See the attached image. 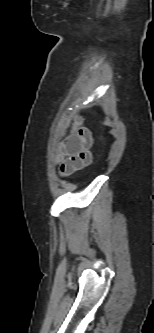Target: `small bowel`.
Masks as SVG:
<instances>
[{"mask_svg": "<svg viewBox=\"0 0 154 333\" xmlns=\"http://www.w3.org/2000/svg\"><path fill=\"white\" fill-rule=\"evenodd\" d=\"M93 137L86 127H79L61 146L58 156L60 173L69 176L90 165L93 159Z\"/></svg>", "mask_w": 154, "mask_h": 333, "instance_id": "c3829d8e", "label": "small bowel"}]
</instances>
